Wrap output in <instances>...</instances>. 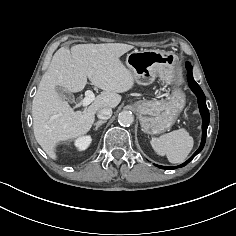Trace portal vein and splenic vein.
<instances>
[{"mask_svg":"<svg viewBox=\"0 0 236 236\" xmlns=\"http://www.w3.org/2000/svg\"><path fill=\"white\" fill-rule=\"evenodd\" d=\"M95 96L91 90L85 92V98L82 100V106L87 107L93 100Z\"/></svg>","mask_w":236,"mask_h":236,"instance_id":"obj_1","label":"portal vein and splenic vein"}]
</instances>
